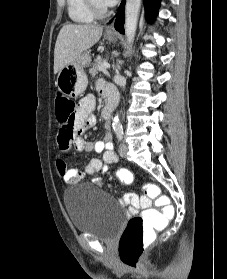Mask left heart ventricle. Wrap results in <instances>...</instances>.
Wrapping results in <instances>:
<instances>
[{
    "mask_svg": "<svg viewBox=\"0 0 227 279\" xmlns=\"http://www.w3.org/2000/svg\"><path fill=\"white\" fill-rule=\"evenodd\" d=\"M95 1V4L100 7V8H105L107 7V5L104 3L103 0H94Z\"/></svg>",
    "mask_w": 227,
    "mask_h": 279,
    "instance_id": "obj_1",
    "label": "left heart ventricle"
}]
</instances>
